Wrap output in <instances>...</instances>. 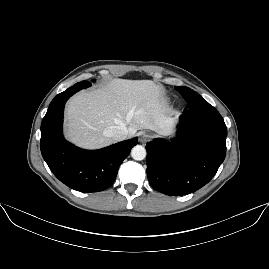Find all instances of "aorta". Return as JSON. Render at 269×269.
<instances>
[{
    "label": "aorta",
    "mask_w": 269,
    "mask_h": 269,
    "mask_svg": "<svg viewBox=\"0 0 269 269\" xmlns=\"http://www.w3.org/2000/svg\"><path fill=\"white\" fill-rule=\"evenodd\" d=\"M134 160L141 161L146 157V150L143 146H135L131 151Z\"/></svg>",
    "instance_id": "762f6f07"
}]
</instances>
